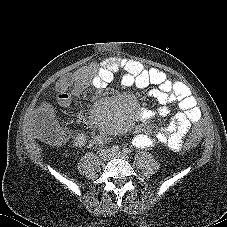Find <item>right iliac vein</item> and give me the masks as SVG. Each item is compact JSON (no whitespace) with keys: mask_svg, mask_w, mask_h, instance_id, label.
I'll return each instance as SVG.
<instances>
[{"mask_svg":"<svg viewBox=\"0 0 227 227\" xmlns=\"http://www.w3.org/2000/svg\"><path fill=\"white\" fill-rule=\"evenodd\" d=\"M111 152L109 149H104L100 152L99 156L102 161H107L110 158Z\"/></svg>","mask_w":227,"mask_h":227,"instance_id":"63e3f726","label":"right iliac vein"}]
</instances>
